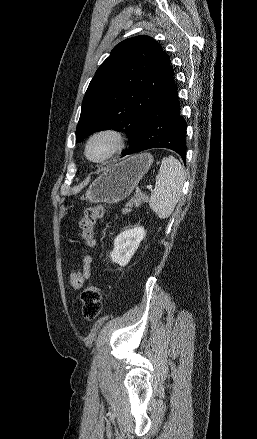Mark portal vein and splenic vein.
<instances>
[{"label":"portal vein and splenic vein","mask_w":257,"mask_h":439,"mask_svg":"<svg viewBox=\"0 0 257 439\" xmlns=\"http://www.w3.org/2000/svg\"><path fill=\"white\" fill-rule=\"evenodd\" d=\"M147 189H148V190H152V186H151V185H148V186H147Z\"/></svg>","instance_id":"1"}]
</instances>
